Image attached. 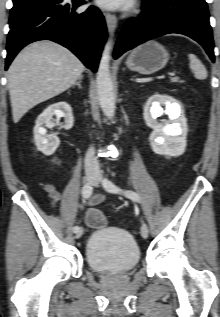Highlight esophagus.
<instances>
[{
    "label": "esophagus",
    "mask_w": 220,
    "mask_h": 317,
    "mask_svg": "<svg viewBox=\"0 0 220 317\" xmlns=\"http://www.w3.org/2000/svg\"><path fill=\"white\" fill-rule=\"evenodd\" d=\"M105 20L107 24L108 31L110 34H113L114 30L116 29L117 26V18L115 15L106 13L105 14Z\"/></svg>",
    "instance_id": "1"
}]
</instances>
